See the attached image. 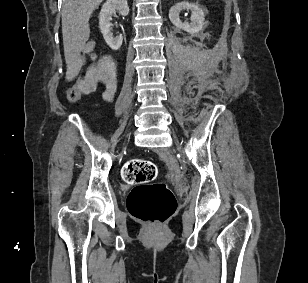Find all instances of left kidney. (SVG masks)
I'll use <instances>...</instances> for the list:
<instances>
[{
    "instance_id": "1",
    "label": "left kidney",
    "mask_w": 308,
    "mask_h": 283,
    "mask_svg": "<svg viewBox=\"0 0 308 283\" xmlns=\"http://www.w3.org/2000/svg\"><path fill=\"white\" fill-rule=\"evenodd\" d=\"M182 10H190L192 12L190 23L182 22L180 20V12ZM169 19L173 25L182 29L190 34H196L204 29L205 25V12L203 7L198 4L182 1L173 5L169 10Z\"/></svg>"
}]
</instances>
